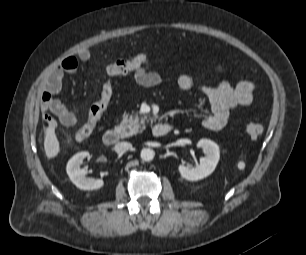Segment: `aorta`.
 <instances>
[{
	"instance_id": "762f6f07",
	"label": "aorta",
	"mask_w": 306,
	"mask_h": 255,
	"mask_svg": "<svg viewBox=\"0 0 306 255\" xmlns=\"http://www.w3.org/2000/svg\"><path fill=\"white\" fill-rule=\"evenodd\" d=\"M154 156H155V153L150 148H144L140 152L141 159L146 162L152 161Z\"/></svg>"
}]
</instances>
